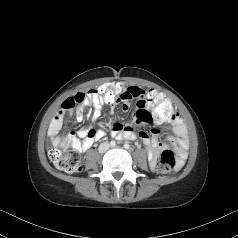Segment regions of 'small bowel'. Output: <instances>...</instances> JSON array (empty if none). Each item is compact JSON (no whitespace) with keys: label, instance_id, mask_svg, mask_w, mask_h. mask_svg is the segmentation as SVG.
Listing matches in <instances>:
<instances>
[{"label":"small bowel","instance_id":"c3829d8e","mask_svg":"<svg viewBox=\"0 0 238 238\" xmlns=\"http://www.w3.org/2000/svg\"><path fill=\"white\" fill-rule=\"evenodd\" d=\"M146 92L140 87L130 86L125 89L118 98V103H122L124 110L129 109V103L132 100L137 102V114L136 121L143 123H153V122H162L153 118L143 117L142 115L147 113L151 103L146 97ZM106 95V94H103ZM102 94H96V92H91L88 97H86L82 102H79L78 107L76 108L75 115L77 121L83 120V110L86 105L93 107L92 112V121L95 122L102 114V108L105 104L115 106L117 103H104L102 99ZM63 104V103H62ZM72 108L65 109L61 106V110L57 112L55 117L50 123L49 126V135L53 137V145L55 147L67 148L72 145L79 152H84L88 150L95 141L104 137L105 132L103 130H95L91 127L81 129L76 134L70 133L65 136H59V131L63 124L64 115L66 112H70ZM171 126L175 136H170L168 141L170 145L175 150L176 154L179 157V161L186 157V151L188 148V138H187V129L183 121L175 114V116L167 121ZM111 135L118 139H128L134 140L139 137L144 145L148 149V158L149 163L152 168L156 166L157 158L164 150L168 148V145L162 143L159 138V130L153 128L150 133L145 131L136 132L133 123H128L122 125L119 123L113 124L111 126Z\"/></svg>","mask_w":238,"mask_h":238}]
</instances>
